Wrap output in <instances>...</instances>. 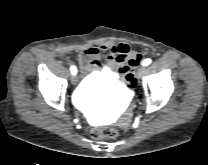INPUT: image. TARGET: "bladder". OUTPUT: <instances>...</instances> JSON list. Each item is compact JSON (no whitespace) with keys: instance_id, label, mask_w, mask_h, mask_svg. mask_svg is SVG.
I'll use <instances>...</instances> for the list:
<instances>
[{"instance_id":"obj_1","label":"bladder","mask_w":208,"mask_h":165,"mask_svg":"<svg viewBox=\"0 0 208 165\" xmlns=\"http://www.w3.org/2000/svg\"><path fill=\"white\" fill-rule=\"evenodd\" d=\"M103 91L106 98L121 100L127 93V89L117 78L109 72H101L87 77L81 83V91L78 97L79 104L85 108L90 103L91 96L98 90Z\"/></svg>"}]
</instances>
